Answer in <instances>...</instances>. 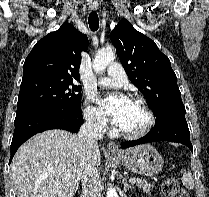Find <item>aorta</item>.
<instances>
[{
	"label": "aorta",
	"mask_w": 209,
	"mask_h": 197,
	"mask_svg": "<svg viewBox=\"0 0 209 197\" xmlns=\"http://www.w3.org/2000/svg\"><path fill=\"white\" fill-rule=\"evenodd\" d=\"M115 59V51L108 46L99 50L98 54L93 60V69L96 73H101L106 67ZM106 197H118L116 190L110 187L107 191Z\"/></svg>",
	"instance_id": "aorta-1"
}]
</instances>
